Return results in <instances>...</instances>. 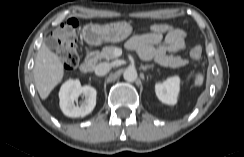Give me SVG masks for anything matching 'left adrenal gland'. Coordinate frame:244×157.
<instances>
[{
    "label": "left adrenal gland",
    "instance_id": "a2214340",
    "mask_svg": "<svg viewBox=\"0 0 244 157\" xmlns=\"http://www.w3.org/2000/svg\"><path fill=\"white\" fill-rule=\"evenodd\" d=\"M154 65H141V69L146 71L147 69L152 68L153 69Z\"/></svg>",
    "mask_w": 244,
    "mask_h": 157
}]
</instances>
